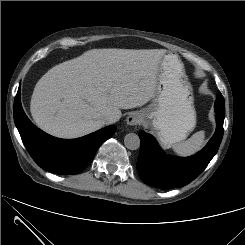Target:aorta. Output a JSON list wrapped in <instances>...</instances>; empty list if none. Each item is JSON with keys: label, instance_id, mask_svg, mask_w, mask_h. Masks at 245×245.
Here are the masks:
<instances>
[{"label": "aorta", "instance_id": "aorta-1", "mask_svg": "<svg viewBox=\"0 0 245 245\" xmlns=\"http://www.w3.org/2000/svg\"><path fill=\"white\" fill-rule=\"evenodd\" d=\"M124 144L130 150H137L140 147V138L135 133L126 134Z\"/></svg>", "mask_w": 245, "mask_h": 245}]
</instances>
